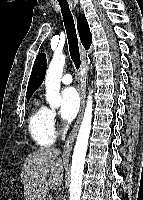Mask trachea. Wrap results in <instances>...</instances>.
<instances>
[{"label": "trachea", "mask_w": 143, "mask_h": 200, "mask_svg": "<svg viewBox=\"0 0 143 200\" xmlns=\"http://www.w3.org/2000/svg\"><path fill=\"white\" fill-rule=\"evenodd\" d=\"M58 1L61 7L63 21L68 37L70 56L75 67L79 69L81 61H80L78 39H77L73 16L69 9L68 2L66 0H58Z\"/></svg>", "instance_id": "trachea-1"}]
</instances>
